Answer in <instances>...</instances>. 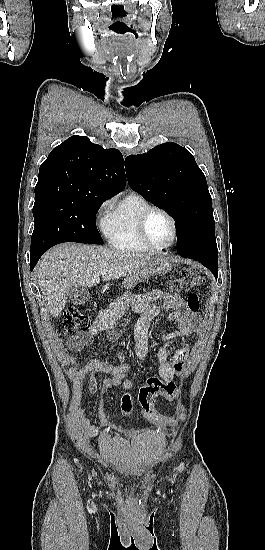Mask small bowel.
<instances>
[{
    "label": "small bowel",
    "mask_w": 265,
    "mask_h": 550,
    "mask_svg": "<svg viewBox=\"0 0 265 550\" xmlns=\"http://www.w3.org/2000/svg\"><path fill=\"white\" fill-rule=\"evenodd\" d=\"M133 309L139 314L135 324L136 342L133 347V353L139 360H147L150 355L149 331L152 320L163 312H170V318L177 322L178 328L174 332H168L163 335L164 344H162L156 354L158 362V373L160 378L168 385L175 388V378L183 375L187 370V359L189 354L188 341L195 334L199 325L198 317L185 309L181 297L175 294L165 293L159 290H152L142 294L126 293L115 300L106 310H104L93 322L92 326L81 333L75 334L67 339L66 345L71 352H80L93 342V338L98 333H106L108 340L112 343L118 340V333L115 329V322L125 313L127 309ZM177 348L172 351V347ZM123 353L120 358L123 360ZM73 357L66 356L67 361H72ZM129 371L126 363L113 364L112 362L95 357L87 361L82 367L75 371L78 380H83L91 374L88 381L90 392L99 393L102 398L106 392L114 387H121L128 392L134 388V383L125 379ZM105 373L109 377L104 379L99 386L96 374ZM177 390V389H176ZM161 397H166L162 395ZM120 409L124 416H130L134 411V403L128 394L121 398ZM159 414V413H158ZM144 416V415H143ZM158 420H150L157 424H165L164 416ZM99 417L102 418L101 412ZM164 419H163V418ZM81 423L85 433L91 437L100 435V428L94 426L90 421L81 415Z\"/></svg>",
    "instance_id": "small-bowel-1"
}]
</instances>
